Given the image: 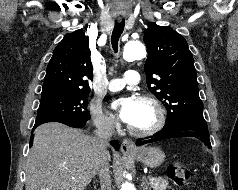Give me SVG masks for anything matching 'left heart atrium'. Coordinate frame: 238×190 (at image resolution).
Listing matches in <instances>:
<instances>
[{
  "label": "left heart atrium",
  "instance_id": "1",
  "mask_svg": "<svg viewBox=\"0 0 238 190\" xmlns=\"http://www.w3.org/2000/svg\"><path fill=\"white\" fill-rule=\"evenodd\" d=\"M118 117L125 123H130L135 115L137 100L134 97H124L115 103Z\"/></svg>",
  "mask_w": 238,
  "mask_h": 190
}]
</instances>
